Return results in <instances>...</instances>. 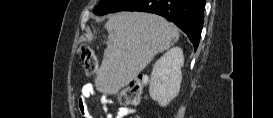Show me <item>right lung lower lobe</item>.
I'll list each match as a JSON object with an SVG mask.
<instances>
[{"mask_svg":"<svg viewBox=\"0 0 273 118\" xmlns=\"http://www.w3.org/2000/svg\"><path fill=\"white\" fill-rule=\"evenodd\" d=\"M205 0H125L113 12H150L172 21L184 31L193 43L199 45L203 28Z\"/></svg>","mask_w":273,"mask_h":118,"instance_id":"1","label":"right lung lower lobe"}]
</instances>
